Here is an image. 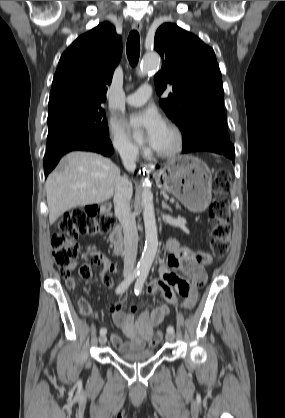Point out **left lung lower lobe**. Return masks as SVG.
I'll return each mask as SVG.
<instances>
[{"mask_svg":"<svg viewBox=\"0 0 285 418\" xmlns=\"http://www.w3.org/2000/svg\"><path fill=\"white\" fill-rule=\"evenodd\" d=\"M195 151H210L219 154H223L234 163L235 149L230 141L222 139H207L201 140L189 146L183 147V153L195 152Z\"/></svg>","mask_w":285,"mask_h":418,"instance_id":"left-lung-lower-lobe-1","label":"left lung lower lobe"}]
</instances>
